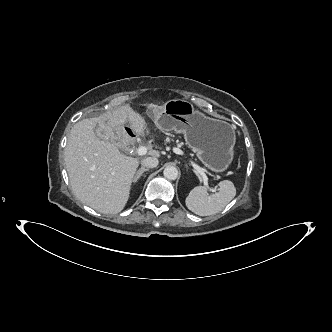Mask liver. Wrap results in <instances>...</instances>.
<instances>
[{"instance_id":"1","label":"liver","mask_w":332,"mask_h":332,"mask_svg":"<svg viewBox=\"0 0 332 332\" xmlns=\"http://www.w3.org/2000/svg\"><path fill=\"white\" fill-rule=\"evenodd\" d=\"M163 108L155 104L148 106L155 112ZM126 113V108H120L77 122L70 131L65 148L64 160L74 194L85 205L103 214L122 211L139 166L138 158L122 154L108 140L113 129L125 122ZM131 121L133 125L137 122ZM97 124L106 129L105 140L95 135ZM148 155L159 158L160 152L150 149Z\"/></svg>"}]
</instances>
